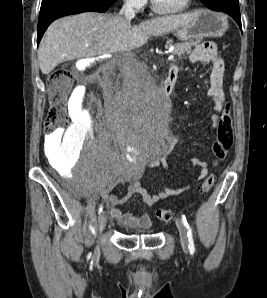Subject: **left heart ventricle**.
<instances>
[{
  "label": "left heart ventricle",
  "mask_w": 267,
  "mask_h": 298,
  "mask_svg": "<svg viewBox=\"0 0 267 298\" xmlns=\"http://www.w3.org/2000/svg\"><path fill=\"white\" fill-rule=\"evenodd\" d=\"M157 5L166 11H175L183 6L185 0H155Z\"/></svg>",
  "instance_id": "b2bd125f"
}]
</instances>
